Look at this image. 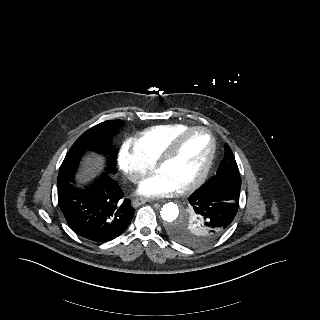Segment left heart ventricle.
Listing matches in <instances>:
<instances>
[{"label":"left heart ventricle","instance_id":"1","mask_svg":"<svg viewBox=\"0 0 320 320\" xmlns=\"http://www.w3.org/2000/svg\"><path fill=\"white\" fill-rule=\"evenodd\" d=\"M210 151L207 134L197 132L186 137L176 155L163 164L159 171L179 187L195 179L202 171Z\"/></svg>","mask_w":320,"mask_h":320}]
</instances>
